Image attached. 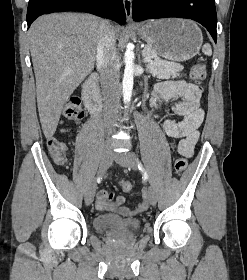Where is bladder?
Wrapping results in <instances>:
<instances>
[{
  "label": "bladder",
  "mask_w": 247,
  "mask_h": 280,
  "mask_svg": "<svg viewBox=\"0 0 247 280\" xmlns=\"http://www.w3.org/2000/svg\"><path fill=\"white\" fill-rule=\"evenodd\" d=\"M141 225L139 219H126L117 215H100L94 219V226L102 232L132 233L138 231Z\"/></svg>",
  "instance_id": "1"
}]
</instances>
